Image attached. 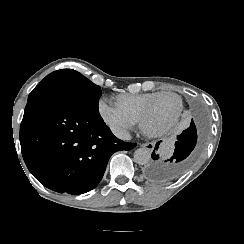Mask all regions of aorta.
<instances>
[{"label":"aorta","instance_id":"obj_1","mask_svg":"<svg viewBox=\"0 0 244 244\" xmlns=\"http://www.w3.org/2000/svg\"><path fill=\"white\" fill-rule=\"evenodd\" d=\"M151 159V153L147 148H138L134 152V161L139 165L147 164Z\"/></svg>","mask_w":244,"mask_h":244}]
</instances>
